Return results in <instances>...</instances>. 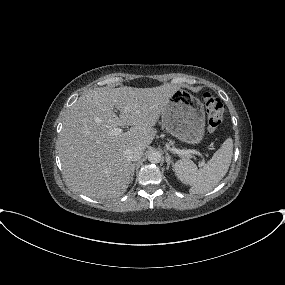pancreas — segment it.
<instances>
[{
	"instance_id": "1",
	"label": "pancreas",
	"mask_w": 285,
	"mask_h": 285,
	"mask_svg": "<svg viewBox=\"0 0 285 285\" xmlns=\"http://www.w3.org/2000/svg\"><path fill=\"white\" fill-rule=\"evenodd\" d=\"M182 158H188V155H180Z\"/></svg>"
}]
</instances>
